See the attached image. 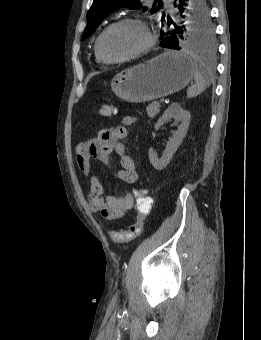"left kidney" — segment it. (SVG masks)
Returning <instances> with one entry per match:
<instances>
[{
    "mask_svg": "<svg viewBox=\"0 0 261 340\" xmlns=\"http://www.w3.org/2000/svg\"><path fill=\"white\" fill-rule=\"evenodd\" d=\"M175 118L181 121L178 130L173 132L172 138L167 142L165 151L161 158H157L156 153L152 148L149 149V161L156 170L164 169L171 161L174 153L182 143L186 136L187 129L190 124L191 115L189 111L182 109L178 103H172L154 125V129L158 130L169 119Z\"/></svg>",
    "mask_w": 261,
    "mask_h": 340,
    "instance_id": "left-kidney-1",
    "label": "left kidney"
}]
</instances>
